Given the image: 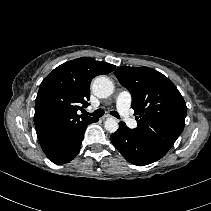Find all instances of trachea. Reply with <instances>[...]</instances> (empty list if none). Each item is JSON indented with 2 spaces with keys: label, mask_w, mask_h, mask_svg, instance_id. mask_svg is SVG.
I'll return each mask as SVG.
<instances>
[{
  "label": "trachea",
  "mask_w": 211,
  "mask_h": 211,
  "mask_svg": "<svg viewBox=\"0 0 211 211\" xmlns=\"http://www.w3.org/2000/svg\"><path fill=\"white\" fill-rule=\"evenodd\" d=\"M86 115H91L93 117L99 118L102 117L104 115V110L102 109H97L95 110L93 113H87L85 112ZM110 114L118 119H120L119 114L116 111H111Z\"/></svg>",
  "instance_id": "1"
}]
</instances>
